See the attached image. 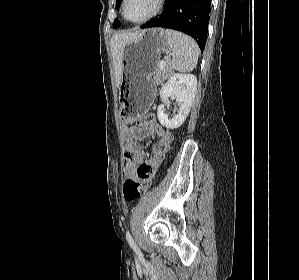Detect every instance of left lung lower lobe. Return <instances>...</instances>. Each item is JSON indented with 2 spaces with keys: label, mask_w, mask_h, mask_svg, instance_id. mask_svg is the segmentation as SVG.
I'll return each mask as SVG.
<instances>
[{
  "label": "left lung lower lobe",
  "mask_w": 299,
  "mask_h": 280,
  "mask_svg": "<svg viewBox=\"0 0 299 280\" xmlns=\"http://www.w3.org/2000/svg\"><path fill=\"white\" fill-rule=\"evenodd\" d=\"M211 0H165L161 15L141 28L164 27L192 36L203 51L207 40Z\"/></svg>",
  "instance_id": "0a47b994"
}]
</instances>
